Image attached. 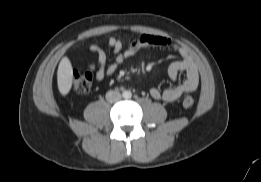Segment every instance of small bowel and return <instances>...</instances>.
Masks as SVG:
<instances>
[{"instance_id": "c3829d8e", "label": "small bowel", "mask_w": 261, "mask_h": 182, "mask_svg": "<svg viewBox=\"0 0 261 182\" xmlns=\"http://www.w3.org/2000/svg\"><path fill=\"white\" fill-rule=\"evenodd\" d=\"M107 46L113 54L111 63H108L107 52L100 45L95 43L89 45V50L97 56L95 79L98 82L114 74L124 61L133 57L139 50L147 47H159L170 49L181 57L180 60L169 65L168 75L170 79L175 81L180 72H185L186 78L182 83L163 90L152 88L150 90L152 98L164 102H173L183 94L194 92L199 86V70L189 51L183 45L164 36L142 34L133 39L126 47L120 39L110 37ZM89 67L94 68L95 65L90 64Z\"/></svg>"}]
</instances>
